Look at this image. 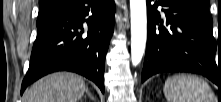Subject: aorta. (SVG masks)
I'll use <instances>...</instances> for the list:
<instances>
[{"label": "aorta", "instance_id": "aorta-1", "mask_svg": "<svg viewBox=\"0 0 221 102\" xmlns=\"http://www.w3.org/2000/svg\"><path fill=\"white\" fill-rule=\"evenodd\" d=\"M131 62L137 66L143 57L147 38L146 0H130Z\"/></svg>", "mask_w": 221, "mask_h": 102}]
</instances>
